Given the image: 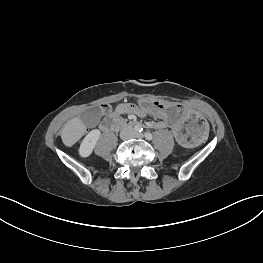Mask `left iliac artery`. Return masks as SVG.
I'll use <instances>...</instances> for the list:
<instances>
[{
    "instance_id": "1",
    "label": "left iliac artery",
    "mask_w": 263,
    "mask_h": 263,
    "mask_svg": "<svg viewBox=\"0 0 263 263\" xmlns=\"http://www.w3.org/2000/svg\"><path fill=\"white\" fill-rule=\"evenodd\" d=\"M145 137L147 140H152V138H153L152 134L149 132H145Z\"/></svg>"
}]
</instances>
